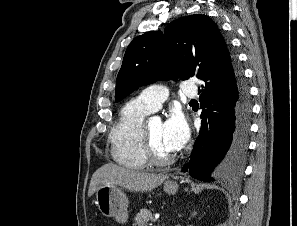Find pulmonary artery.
<instances>
[{"instance_id":"e3ab8cb5","label":"pulmonary artery","mask_w":297,"mask_h":226,"mask_svg":"<svg viewBox=\"0 0 297 226\" xmlns=\"http://www.w3.org/2000/svg\"><path fill=\"white\" fill-rule=\"evenodd\" d=\"M197 92V87L191 81H187L184 84L183 94L185 97L194 98L197 96ZM167 97V89L163 86L155 85L143 89L137 98L152 112H154L160 108L161 104L167 99Z\"/></svg>"}]
</instances>
